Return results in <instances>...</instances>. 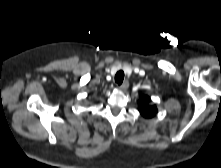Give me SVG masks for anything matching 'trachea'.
Wrapping results in <instances>:
<instances>
[{"label": "trachea", "mask_w": 221, "mask_h": 168, "mask_svg": "<svg viewBox=\"0 0 221 168\" xmlns=\"http://www.w3.org/2000/svg\"><path fill=\"white\" fill-rule=\"evenodd\" d=\"M124 79V72L123 71H118L115 75V82L120 85L122 84Z\"/></svg>", "instance_id": "trachea-1"}]
</instances>
